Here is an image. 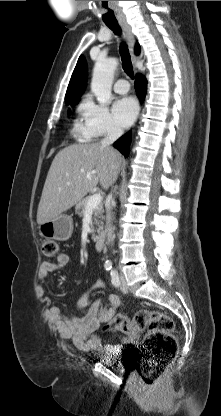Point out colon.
<instances>
[{"mask_svg": "<svg viewBox=\"0 0 221 416\" xmlns=\"http://www.w3.org/2000/svg\"><path fill=\"white\" fill-rule=\"evenodd\" d=\"M58 252L55 240H45L42 253L53 257ZM109 332L137 336L145 331L140 349V376L145 384H154L176 355L178 340L174 334L175 323L166 313L156 310H139L132 318L115 315L105 325Z\"/></svg>", "mask_w": 221, "mask_h": 416, "instance_id": "colon-1", "label": "colon"}]
</instances>
